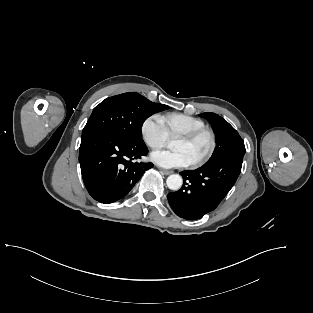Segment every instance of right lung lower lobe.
I'll return each mask as SVG.
<instances>
[{"instance_id": "98d812e1", "label": "right lung lower lobe", "mask_w": 313, "mask_h": 313, "mask_svg": "<svg viewBox=\"0 0 313 313\" xmlns=\"http://www.w3.org/2000/svg\"><path fill=\"white\" fill-rule=\"evenodd\" d=\"M148 153L144 141L96 131L82 137L79 162L89 194L109 204L125 197L152 163L135 162Z\"/></svg>"}]
</instances>
